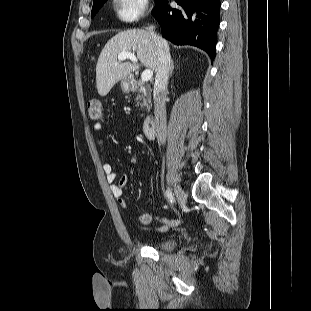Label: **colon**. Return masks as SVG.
<instances>
[{"instance_id": "colon-1", "label": "colon", "mask_w": 311, "mask_h": 311, "mask_svg": "<svg viewBox=\"0 0 311 311\" xmlns=\"http://www.w3.org/2000/svg\"><path fill=\"white\" fill-rule=\"evenodd\" d=\"M88 116L93 121H100L103 118L102 104L97 99L88 102Z\"/></svg>"}]
</instances>
